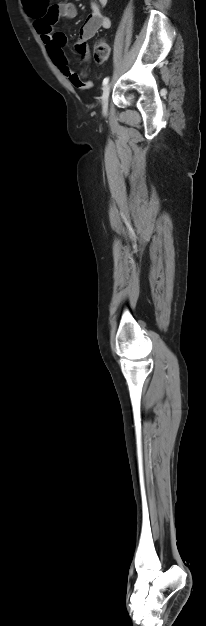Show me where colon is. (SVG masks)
<instances>
[{
    "label": "colon",
    "instance_id": "1",
    "mask_svg": "<svg viewBox=\"0 0 206 626\" xmlns=\"http://www.w3.org/2000/svg\"><path fill=\"white\" fill-rule=\"evenodd\" d=\"M110 47L105 41H99L94 47V58L97 62H104L108 59Z\"/></svg>",
    "mask_w": 206,
    "mask_h": 626
}]
</instances>
